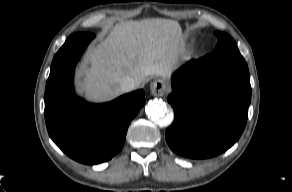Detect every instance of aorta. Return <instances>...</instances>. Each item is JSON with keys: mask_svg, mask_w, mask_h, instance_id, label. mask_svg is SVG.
Wrapping results in <instances>:
<instances>
[{"mask_svg": "<svg viewBox=\"0 0 292 192\" xmlns=\"http://www.w3.org/2000/svg\"><path fill=\"white\" fill-rule=\"evenodd\" d=\"M145 112L159 126H168L173 120V116L168 112L166 103L160 99L150 100L145 106Z\"/></svg>", "mask_w": 292, "mask_h": 192, "instance_id": "aorta-1", "label": "aorta"}]
</instances>
